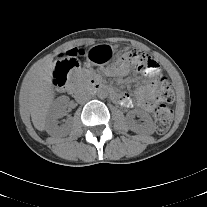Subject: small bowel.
Wrapping results in <instances>:
<instances>
[{"label": "small bowel", "instance_id": "c3829d8e", "mask_svg": "<svg viewBox=\"0 0 207 207\" xmlns=\"http://www.w3.org/2000/svg\"><path fill=\"white\" fill-rule=\"evenodd\" d=\"M129 63H132L138 70H141L137 67L135 62L125 60L120 65L109 68L107 70V74L109 76H123L127 72ZM147 75L157 78L160 75V69L158 67V64H157L156 70L153 73H150ZM158 86H159L158 80L154 79V80L147 82L145 85H143L137 90V104L145 111H148V112L152 111L153 106H154V100H155L156 93L158 90ZM114 99L115 101H117L118 103H120L121 105L125 107L133 106L132 100L123 93H115Z\"/></svg>", "mask_w": 207, "mask_h": 207}]
</instances>
